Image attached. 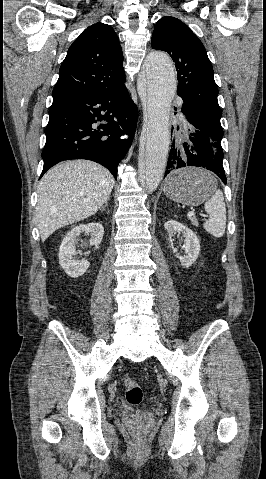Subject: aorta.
Wrapping results in <instances>:
<instances>
[{"mask_svg":"<svg viewBox=\"0 0 266 479\" xmlns=\"http://www.w3.org/2000/svg\"><path fill=\"white\" fill-rule=\"evenodd\" d=\"M138 91L145 102V181L148 192L157 189L163 177L170 144L169 117L176 92L174 65L163 52L150 53L144 62Z\"/></svg>","mask_w":266,"mask_h":479,"instance_id":"aorta-1","label":"aorta"}]
</instances>
